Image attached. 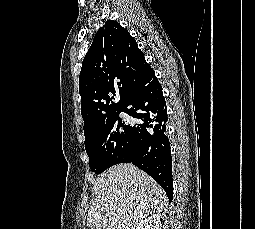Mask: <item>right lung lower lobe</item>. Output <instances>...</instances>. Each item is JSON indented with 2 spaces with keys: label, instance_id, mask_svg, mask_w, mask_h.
I'll use <instances>...</instances> for the list:
<instances>
[{
  "label": "right lung lower lobe",
  "instance_id": "1",
  "mask_svg": "<svg viewBox=\"0 0 255 229\" xmlns=\"http://www.w3.org/2000/svg\"><path fill=\"white\" fill-rule=\"evenodd\" d=\"M122 111L139 120L131 129L132 155L123 162L136 165L156 180L171 203L173 180L170 143L166 136L167 108L162 87L151 67L136 77Z\"/></svg>",
  "mask_w": 255,
  "mask_h": 229
}]
</instances>
